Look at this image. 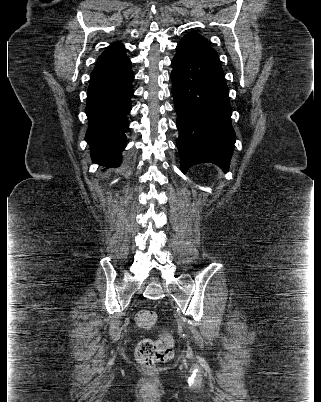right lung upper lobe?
<instances>
[{"instance_id": "1", "label": "right lung upper lobe", "mask_w": 321, "mask_h": 402, "mask_svg": "<svg viewBox=\"0 0 321 402\" xmlns=\"http://www.w3.org/2000/svg\"><path fill=\"white\" fill-rule=\"evenodd\" d=\"M126 49L121 43L111 44L106 50L99 56L96 66H124L129 65L130 61L126 55Z\"/></svg>"}]
</instances>
